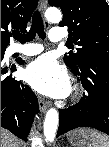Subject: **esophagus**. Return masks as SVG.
<instances>
[{"mask_svg": "<svg viewBox=\"0 0 109 147\" xmlns=\"http://www.w3.org/2000/svg\"><path fill=\"white\" fill-rule=\"evenodd\" d=\"M46 6H47V1L46 0H40V11H41V13H44ZM45 26H46V28H49L48 23H45ZM38 101H39V108H40L41 112L44 113L47 110V108L49 107V103L41 97L38 98Z\"/></svg>", "mask_w": 109, "mask_h": 147, "instance_id": "34e87169", "label": "esophagus"}]
</instances>
